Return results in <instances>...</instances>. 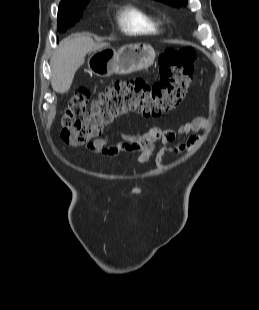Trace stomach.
<instances>
[{
	"mask_svg": "<svg viewBox=\"0 0 259 310\" xmlns=\"http://www.w3.org/2000/svg\"><path fill=\"white\" fill-rule=\"evenodd\" d=\"M155 57L154 49L145 43L125 45L118 51L106 46L93 51L88 59V68L100 77L125 75L147 69L154 63Z\"/></svg>",
	"mask_w": 259,
	"mask_h": 310,
	"instance_id": "0dacf381",
	"label": "stomach"
}]
</instances>
